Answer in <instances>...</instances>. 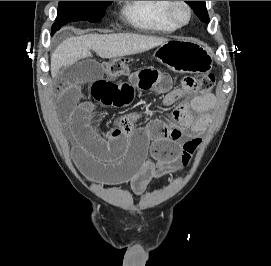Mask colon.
Masks as SVG:
<instances>
[{"instance_id":"obj_1","label":"colon","mask_w":271,"mask_h":266,"mask_svg":"<svg viewBox=\"0 0 271 266\" xmlns=\"http://www.w3.org/2000/svg\"><path fill=\"white\" fill-rule=\"evenodd\" d=\"M128 68V60L112 59L103 64V71L107 77H117L123 75ZM215 78L210 72H205L196 76H188L183 79L182 89L187 94L209 95L214 87ZM200 144V138L195 137L183 145L182 162L189 163L192 154Z\"/></svg>"}]
</instances>
